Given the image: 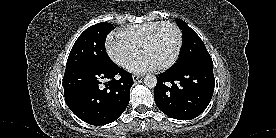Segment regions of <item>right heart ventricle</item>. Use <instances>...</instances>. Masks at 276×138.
Returning a JSON list of instances; mask_svg holds the SVG:
<instances>
[{
	"label": "right heart ventricle",
	"instance_id": "obj_1",
	"mask_svg": "<svg viewBox=\"0 0 276 138\" xmlns=\"http://www.w3.org/2000/svg\"><path fill=\"white\" fill-rule=\"evenodd\" d=\"M161 23V21H152L128 26L118 32V35L129 40L137 48H141L144 41L150 33Z\"/></svg>",
	"mask_w": 276,
	"mask_h": 138
}]
</instances>
